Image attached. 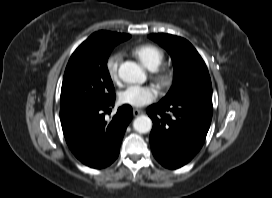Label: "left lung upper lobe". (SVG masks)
Instances as JSON below:
<instances>
[{
  "label": "left lung upper lobe",
  "instance_id": "1",
  "mask_svg": "<svg viewBox=\"0 0 272 198\" xmlns=\"http://www.w3.org/2000/svg\"><path fill=\"white\" fill-rule=\"evenodd\" d=\"M149 38L165 48L174 66V83L160 102L183 98L212 100V85L208 69L196 49L184 38L158 33Z\"/></svg>",
  "mask_w": 272,
  "mask_h": 198
}]
</instances>
